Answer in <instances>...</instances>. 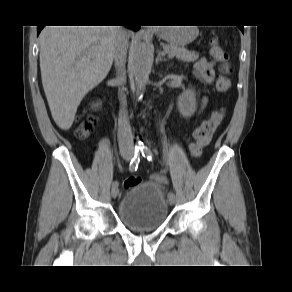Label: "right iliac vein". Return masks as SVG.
<instances>
[{
	"mask_svg": "<svg viewBox=\"0 0 292 292\" xmlns=\"http://www.w3.org/2000/svg\"><path fill=\"white\" fill-rule=\"evenodd\" d=\"M124 159L129 161L131 159V154H124L123 155ZM118 193H119V190L117 187H113L112 190H111V195L113 198H116L118 196Z\"/></svg>",
	"mask_w": 292,
	"mask_h": 292,
	"instance_id": "obj_1",
	"label": "right iliac vein"
}]
</instances>
